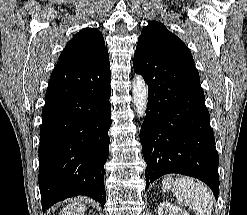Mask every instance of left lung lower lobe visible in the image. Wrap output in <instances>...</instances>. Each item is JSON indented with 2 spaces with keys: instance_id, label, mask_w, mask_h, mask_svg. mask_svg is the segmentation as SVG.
Segmentation results:
<instances>
[{
  "instance_id": "left-lung-lower-lobe-1",
  "label": "left lung lower lobe",
  "mask_w": 247,
  "mask_h": 215,
  "mask_svg": "<svg viewBox=\"0 0 247 215\" xmlns=\"http://www.w3.org/2000/svg\"><path fill=\"white\" fill-rule=\"evenodd\" d=\"M134 70L148 83L147 113L140 131L146 190L164 174L204 181L218 198V154L193 61L138 43Z\"/></svg>"
}]
</instances>
